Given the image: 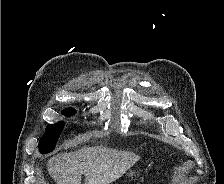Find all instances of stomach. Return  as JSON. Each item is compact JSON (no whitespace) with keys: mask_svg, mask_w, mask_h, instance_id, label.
Masks as SVG:
<instances>
[{"mask_svg":"<svg viewBox=\"0 0 224 184\" xmlns=\"http://www.w3.org/2000/svg\"><path fill=\"white\" fill-rule=\"evenodd\" d=\"M134 174H135V173L131 171L130 173L127 174V176H128V177H133Z\"/></svg>","mask_w":224,"mask_h":184,"instance_id":"0dacf381","label":"stomach"}]
</instances>
